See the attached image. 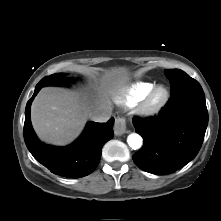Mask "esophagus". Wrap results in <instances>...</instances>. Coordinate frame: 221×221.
I'll use <instances>...</instances> for the list:
<instances>
[{
  "label": "esophagus",
  "instance_id": "34e87169",
  "mask_svg": "<svg viewBox=\"0 0 221 221\" xmlns=\"http://www.w3.org/2000/svg\"><path fill=\"white\" fill-rule=\"evenodd\" d=\"M126 132V119L122 116H118L115 119L114 133L120 136Z\"/></svg>",
  "mask_w": 221,
  "mask_h": 221
}]
</instances>
